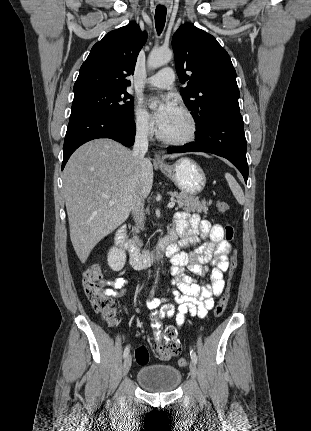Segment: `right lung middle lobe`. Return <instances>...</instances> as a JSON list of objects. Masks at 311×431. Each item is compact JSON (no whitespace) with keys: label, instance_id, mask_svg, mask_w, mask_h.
<instances>
[{"label":"right lung middle lobe","instance_id":"1","mask_svg":"<svg viewBox=\"0 0 311 431\" xmlns=\"http://www.w3.org/2000/svg\"><path fill=\"white\" fill-rule=\"evenodd\" d=\"M133 108L132 97L126 90L86 89L74 92L70 118L87 112L128 118L133 116Z\"/></svg>","mask_w":311,"mask_h":431}]
</instances>
